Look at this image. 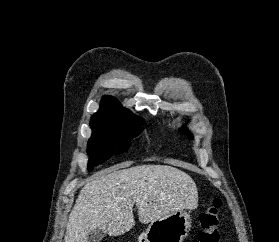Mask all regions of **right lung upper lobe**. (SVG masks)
<instances>
[{
  "mask_svg": "<svg viewBox=\"0 0 279 242\" xmlns=\"http://www.w3.org/2000/svg\"><path fill=\"white\" fill-rule=\"evenodd\" d=\"M90 122H109L116 125H138L142 123V120L123 108L115 98L105 96L101 100L100 109L91 117Z\"/></svg>",
  "mask_w": 279,
  "mask_h": 242,
  "instance_id": "1",
  "label": "right lung upper lobe"
}]
</instances>
